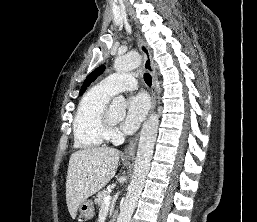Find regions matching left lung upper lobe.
<instances>
[{
    "label": "left lung upper lobe",
    "instance_id": "1",
    "mask_svg": "<svg viewBox=\"0 0 257 222\" xmlns=\"http://www.w3.org/2000/svg\"><path fill=\"white\" fill-rule=\"evenodd\" d=\"M104 70H105V66L103 65V66L98 67L91 74L88 75V77L86 78V80L84 81V83L81 87L80 95L83 94V92L90 85V83L93 82L99 75H101Z\"/></svg>",
    "mask_w": 257,
    "mask_h": 222
}]
</instances>
